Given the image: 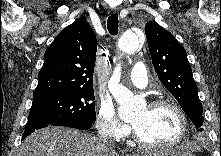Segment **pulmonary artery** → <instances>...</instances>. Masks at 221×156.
I'll use <instances>...</instances> for the list:
<instances>
[{"label":"pulmonary artery","mask_w":221,"mask_h":156,"mask_svg":"<svg viewBox=\"0 0 221 156\" xmlns=\"http://www.w3.org/2000/svg\"><path fill=\"white\" fill-rule=\"evenodd\" d=\"M130 82L139 88H145L148 84L147 71L142 62H138L132 68L129 75Z\"/></svg>","instance_id":"e3ab8cb5"}]
</instances>
